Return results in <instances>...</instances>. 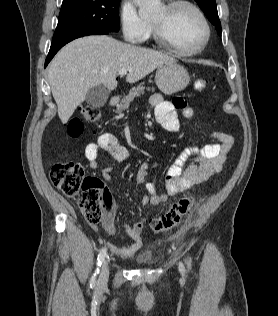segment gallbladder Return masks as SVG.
<instances>
[{"instance_id":"1","label":"gallbladder","mask_w":278,"mask_h":316,"mask_svg":"<svg viewBox=\"0 0 278 316\" xmlns=\"http://www.w3.org/2000/svg\"><path fill=\"white\" fill-rule=\"evenodd\" d=\"M110 91L103 85L91 88L86 94V102L93 108H100L105 105Z\"/></svg>"}]
</instances>
